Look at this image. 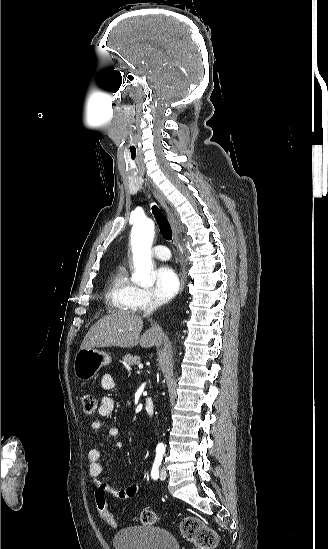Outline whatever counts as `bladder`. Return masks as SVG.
I'll use <instances>...</instances> for the list:
<instances>
[{
    "instance_id": "1",
    "label": "bladder",
    "mask_w": 328,
    "mask_h": 549,
    "mask_svg": "<svg viewBox=\"0 0 328 549\" xmlns=\"http://www.w3.org/2000/svg\"><path fill=\"white\" fill-rule=\"evenodd\" d=\"M113 544L116 549H177L172 533L152 526L125 528Z\"/></svg>"
}]
</instances>
